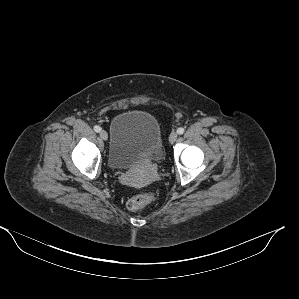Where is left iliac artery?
<instances>
[{"instance_id":"left-iliac-artery-1","label":"left iliac artery","mask_w":299,"mask_h":299,"mask_svg":"<svg viewBox=\"0 0 299 299\" xmlns=\"http://www.w3.org/2000/svg\"><path fill=\"white\" fill-rule=\"evenodd\" d=\"M184 131H185V130H184V128H182V127H180V128L177 129V133L180 134V135L183 134Z\"/></svg>"}]
</instances>
